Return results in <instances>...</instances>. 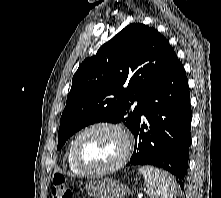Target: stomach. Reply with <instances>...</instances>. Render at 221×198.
I'll return each mask as SVG.
<instances>
[{
    "label": "stomach",
    "instance_id": "stomach-1",
    "mask_svg": "<svg viewBox=\"0 0 221 198\" xmlns=\"http://www.w3.org/2000/svg\"><path fill=\"white\" fill-rule=\"evenodd\" d=\"M86 190L93 198H124L131 192L126 184L112 178L90 182Z\"/></svg>",
    "mask_w": 221,
    "mask_h": 198
}]
</instances>
